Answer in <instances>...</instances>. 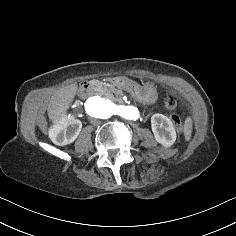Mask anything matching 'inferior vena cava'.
Here are the masks:
<instances>
[{"mask_svg": "<svg viewBox=\"0 0 236 236\" xmlns=\"http://www.w3.org/2000/svg\"><path fill=\"white\" fill-rule=\"evenodd\" d=\"M89 121L95 126L98 127L101 124L100 120H97L96 118L94 119L93 117L89 118Z\"/></svg>", "mask_w": 236, "mask_h": 236, "instance_id": "obj_1", "label": "inferior vena cava"}]
</instances>
